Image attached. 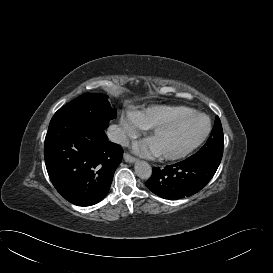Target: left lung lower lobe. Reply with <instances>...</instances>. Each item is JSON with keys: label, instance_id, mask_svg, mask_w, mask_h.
I'll use <instances>...</instances> for the list:
<instances>
[{"label": "left lung lower lobe", "instance_id": "left-lung-lower-lobe-1", "mask_svg": "<svg viewBox=\"0 0 273 273\" xmlns=\"http://www.w3.org/2000/svg\"><path fill=\"white\" fill-rule=\"evenodd\" d=\"M217 168L208 161L187 158L163 169L154 167L146 186L165 199L189 197L207 185Z\"/></svg>", "mask_w": 273, "mask_h": 273}]
</instances>
